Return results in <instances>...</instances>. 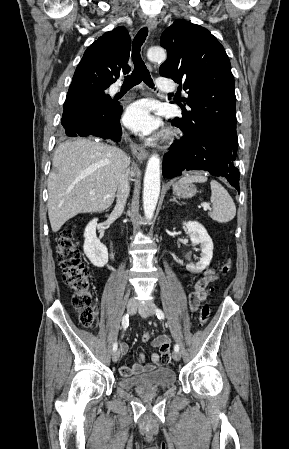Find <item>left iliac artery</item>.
<instances>
[{
  "instance_id": "obj_1",
  "label": "left iliac artery",
  "mask_w": 289,
  "mask_h": 449,
  "mask_svg": "<svg viewBox=\"0 0 289 449\" xmlns=\"http://www.w3.org/2000/svg\"><path fill=\"white\" fill-rule=\"evenodd\" d=\"M155 312H156V315H157V317H158L159 319L162 320V319L165 318L164 313H163V311H162L161 309L156 308V309H155ZM174 350H175V351H179V345H178V344H175Z\"/></svg>"
}]
</instances>
